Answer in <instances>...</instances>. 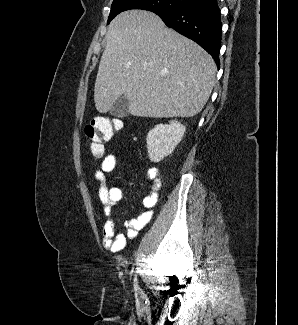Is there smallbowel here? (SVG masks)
<instances>
[{
    "instance_id": "small-bowel-1",
    "label": "small bowel",
    "mask_w": 298,
    "mask_h": 325,
    "mask_svg": "<svg viewBox=\"0 0 298 325\" xmlns=\"http://www.w3.org/2000/svg\"><path fill=\"white\" fill-rule=\"evenodd\" d=\"M116 164V155L109 154L102 159L95 172V178L101 182L98 195L106 216L103 227V246L111 252L121 251L125 247L127 238H135L138 232L150 222L157 203V193L160 188V172L156 167H150L146 171V177L150 182V192L143 199V212L124 222L125 233L117 231L116 216L112 208L121 201L123 191L119 187H108L105 183L108 176L114 171Z\"/></svg>"
}]
</instances>
